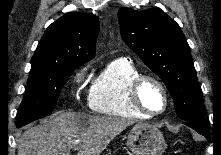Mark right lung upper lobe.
<instances>
[{
  "mask_svg": "<svg viewBox=\"0 0 221 155\" xmlns=\"http://www.w3.org/2000/svg\"><path fill=\"white\" fill-rule=\"evenodd\" d=\"M99 27L93 14L67 13L47 28L31 63L84 64L95 55Z\"/></svg>",
  "mask_w": 221,
  "mask_h": 155,
  "instance_id": "1",
  "label": "right lung upper lobe"
}]
</instances>
